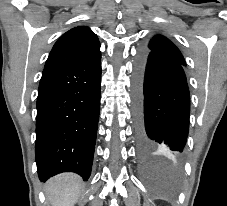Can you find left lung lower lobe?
<instances>
[{
  "instance_id": "0a47b994",
  "label": "left lung lower lobe",
  "mask_w": 227,
  "mask_h": 206,
  "mask_svg": "<svg viewBox=\"0 0 227 206\" xmlns=\"http://www.w3.org/2000/svg\"><path fill=\"white\" fill-rule=\"evenodd\" d=\"M133 90L135 137L140 150L180 157L190 116L182 64L142 50L135 64Z\"/></svg>"
}]
</instances>
